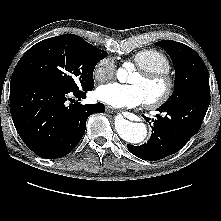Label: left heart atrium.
Instances as JSON below:
<instances>
[{
  "label": "left heart atrium",
  "instance_id": "obj_1",
  "mask_svg": "<svg viewBox=\"0 0 221 221\" xmlns=\"http://www.w3.org/2000/svg\"><path fill=\"white\" fill-rule=\"evenodd\" d=\"M95 96L98 100L116 107L132 108L146 102L141 88L134 84L108 83L97 88Z\"/></svg>",
  "mask_w": 221,
  "mask_h": 221
}]
</instances>
